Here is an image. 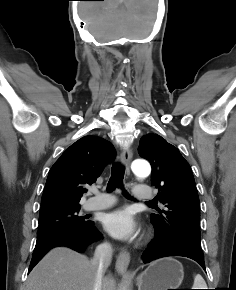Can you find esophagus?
<instances>
[{
	"mask_svg": "<svg viewBox=\"0 0 236 290\" xmlns=\"http://www.w3.org/2000/svg\"><path fill=\"white\" fill-rule=\"evenodd\" d=\"M132 151L129 148L123 149L120 155V160L123 165L126 166L127 171H129L130 163L132 161ZM130 262V254L129 252L122 250L119 252L116 263H115V269L119 274H128V265Z\"/></svg>",
	"mask_w": 236,
	"mask_h": 290,
	"instance_id": "esophagus-1",
	"label": "esophagus"
}]
</instances>
